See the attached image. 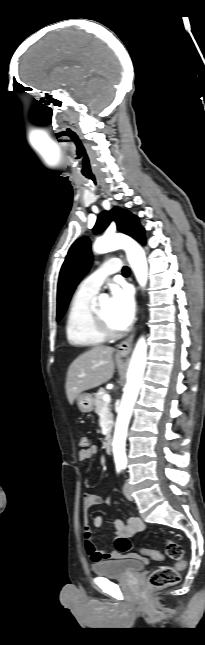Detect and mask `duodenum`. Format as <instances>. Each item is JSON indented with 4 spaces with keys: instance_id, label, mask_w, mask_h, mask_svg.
I'll return each instance as SVG.
<instances>
[{
    "instance_id": "duodenum-1",
    "label": "duodenum",
    "mask_w": 205,
    "mask_h": 645,
    "mask_svg": "<svg viewBox=\"0 0 205 645\" xmlns=\"http://www.w3.org/2000/svg\"><path fill=\"white\" fill-rule=\"evenodd\" d=\"M104 449L107 454H111L113 451V442L111 437H107L104 442Z\"/></svg>"
}]
</instances>
